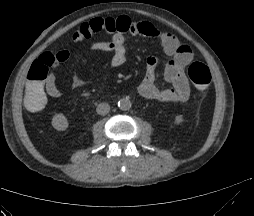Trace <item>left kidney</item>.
<instances>
[{"label": "left kidney", "instance_id": "left-kidney-1", "mask_svg": "<svg viewBox=\"0 0 254 216\" xmlns=\"http://www.w3.org/2000/svg\"><path fill=\"white\" fill-rule=\"evenodd\" d=\"M183 122V115H176L174 123L175 124H181Z\"/></svg>", "mask_w": 254, "mask_h": 216}]
</instances>
